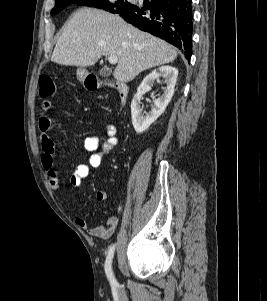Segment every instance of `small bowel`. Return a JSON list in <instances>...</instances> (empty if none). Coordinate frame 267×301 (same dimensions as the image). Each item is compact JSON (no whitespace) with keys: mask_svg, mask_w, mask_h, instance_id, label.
Wrapping results in <instances>:
<instances>
[{"mask_svg":"<svg viewBox=\"0 0 267 301\" xmlns=\"http://www.w3.org/2000/svg\"><path fill=\"white\" fill-rule=\"evenodd\" d=\"M51 109L52 102L48 99H43L38 117V129L43 149L41 163L45 170L50 187L53 190H58L60 187V180L54 169V157L56 154L63 152L64 149L59 148L48 135L51 125L48 112ZM102 133L105 136L104 140H101L98 135H92L85 138L83 142L84 150L91 153V155L87 163L79 164L72 173L69 179L72 187H79L82 180L89 175L90 169L99 167L102 159L109 155L113 148L117 145V128L114 124L105 123L102 127ZM96 199L101 202L106 201L107 193L104 191H98ZM76 224L90 236L107 240L114 234L118 226V217L111 216L107 219L105 224L92 226L81 213H78L76 217Z\"/></svg>","mask_w":267,"mask_h":301,"instance_id":"obj_1","label":"small bowel"}]
</instances>
